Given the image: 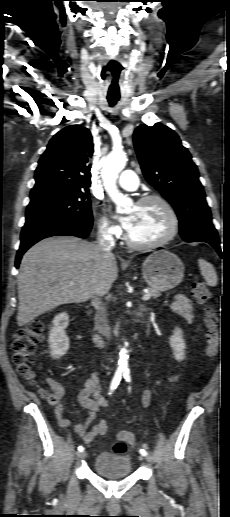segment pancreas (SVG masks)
<instances>
[{
    "label": "pancreas",
    "instance_id": "pancreas-1",
    "mask_svg": "<svg viewBox=\"0 0 230 517\" xmlns=\"http://www.w3.org/2000/svg\"><path fill=\"white\" fill-rule=\"evenodd\" d=\"M147 290L149 291L151 297L154 298V299H156V298L161 296L160 291L157 290V289L149 287V288H147Z\"/></svg>",
    "mask_w": 230,
    "mask_h": 517
}]
</instances>
